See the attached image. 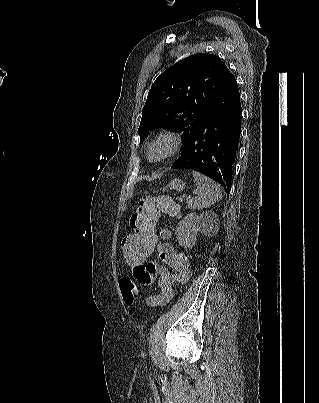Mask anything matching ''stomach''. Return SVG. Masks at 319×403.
Segmentation results:
<instances>
[{"label":"stomach","instance_id":"0dacf381","mask_svg":"<svg viewBox=\"0 0 319 403\" xmlns=\"http://www.w3.org/2000/svg\"><path fill=\"white\" fill-rule=\"evenodd\" d=\"M185 187V183L179 179V178H175L173 180H171V182L163 187V191L167 190L168 188L176 190V191H182Z\"/></svg>","mask_w":319,"mask_h":403}]
</instances>
